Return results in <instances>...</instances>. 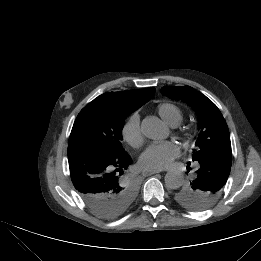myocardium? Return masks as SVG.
Returning <instances> with one entry per match:
<instances>
[{
	"label": "myocardium",
	"instance_id": "obj_1",
	"mask_svg": "<svg viewBox=\"0 0 261 261\" xmlns=\"http://www.w3.org/2000/svg\"><path fill=\"white\" fill-rule=\"evenodd\" d=\"M189 130H190V128H189L188 126H181V125H179V126L177 127V131H178L181 135H183V136H187L188 133H189Z\"/></svg>",
	"mask_w": 261,
	"mask_h": 261
}]
</instances>
